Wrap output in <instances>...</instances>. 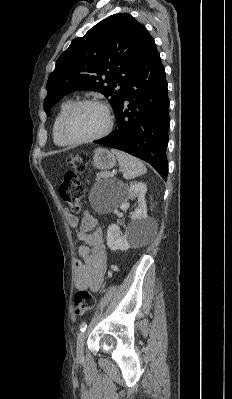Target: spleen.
Instances as JSON below:
<instances>
[{"label": "spleen", "instance_id": "3e777b00", "mask_svg": "<svg viewBox=\"0 0 232 399\" xmlns=\"http://www.w3.org/2000/svg\"><path fill=\"white\" fill-rule=\"evenodd\" d=\"M111 152L115 154L125 180H134V178L146 174V166L137 158H133V156H129L125 152H119V150H111Z\"/></svg>", "mask_w": 232, "mask_h": 399}]
</instances>
